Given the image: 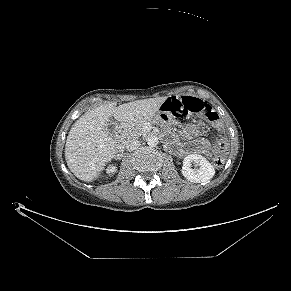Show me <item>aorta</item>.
<instances>
[{"label":"aorta","instance_id":"1","mask_svg":"<svg viewBox=\"0 0 291 291\" xmlns=\"http://www.w3.org/2000/svg\"><path fill=\"white\" fill-rule=\"evenodd\" d=\"M147 144L150 146V147H155L157 146L158 144V138L156 136H150L148 139H147Z\"/></svg>","mask_w":291,"mask_h":291}]
</instances>
